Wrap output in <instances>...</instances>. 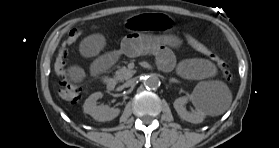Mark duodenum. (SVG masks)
Wrapping results in <instances>:
<instances>
[{"instance_id": "duodenum-1", "label": "duodenum", "mask_w": 279, "mask_h": 148, "mask_svg": "<svg viewBox=\"0 0 279 148\" xmlns=\"http://www.w3.org/2000/svg\"><path fill=\"white\" fill-rule=\"evenodd\" d=\"M106 86L109 91H113L116 87V80L114 78H109L106 81Z\"/></svg>"}]
</instances>
